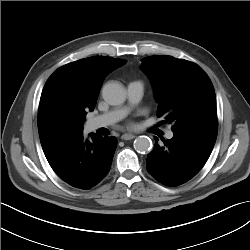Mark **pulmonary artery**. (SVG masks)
<instances>
[{
    "label": "pulmonary artery",
    "mask_w": 250,
    "mask_h": 250,
    "mask_svg": "<svg viewBox=\"0 0 250 250\" xmlns=\"http://www.w3.org/2000/svg\"><path fill=\"white\" fill-rule=\"evenodd\" d=\"M144 93L143 84L140 81H132L127 85V98L130 105L138 103ZM128 111V107H121L97 117L88 120V127L90 130H96L102 127L110 126L120 119H122ZM166 137L171 139L173 137V132L171 130L167 131Z\"/></svg>",
    "instance_id": "pulmonary-artery-1"
}]
</instances>
